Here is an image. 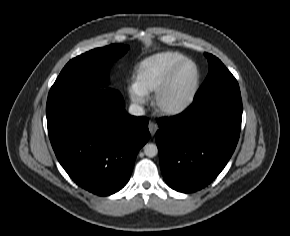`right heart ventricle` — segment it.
Segmentation results:
<instances>
[{
  "instance_id": "obj_1",
  "label": "right heart ventricle",
  "mask_w": 290,
  "mask_h": 236,
  "mask_svg": "<svg viewBox=\"0 0 290 236\" xmlns=\"http://www.w3.org/2000/svg\"><path fill=\"white\" fill-rule=\"evenodd\" d=\"M185 58L183 54L173 51L154 54L138 66L135 83L145 93L153 92L164 83L174 66Z\"/></svg>"
}]
</instances>
